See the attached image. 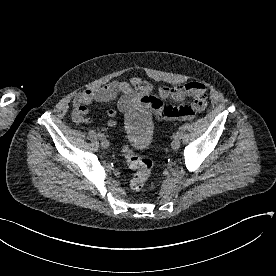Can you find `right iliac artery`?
I'll return each mask as SVG.
<instances>
[{
	"label": "right iliac artery",
	"mask_w": 276,
	"mask_h": 276,
	"mask_svg": "<svg viewBox=\"0 0 276 276\" xmlns=\"http://www.w3.org/2000/svg\"><path fill=\"white\" fill-rule=\"evenodd\" d=\"M98 137L99 139H104L106 138V136L103 133H98Z\"/></svg>",
	"instance_id": "1"
}]
</instances>
